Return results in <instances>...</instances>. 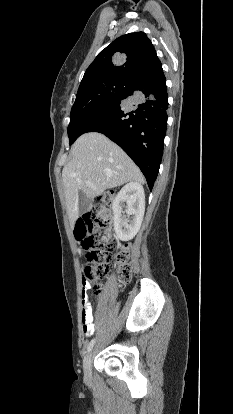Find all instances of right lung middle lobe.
I'll list each match as a JSON object with an SVG mask.
<instances>
[{"instance_id": "1", "label": "right lung middle lobe", "mask_w": 233, "mask_h": 414, "mask_svg": "<svg viewBox=\"0 0 233 414\" xmlns=\"http://www.w3.org/2000/svg\"><path fill=\"white\" fill-rule=\"evenodd\" d=\"M131 84L125 79L105 78L79 88L68 126L70 145L79 137L82 124L98 110L124 95Z\"/></svg>"}]
</instances>
